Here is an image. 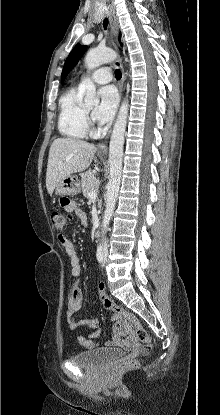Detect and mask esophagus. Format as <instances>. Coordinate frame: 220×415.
<instances>
[{
	"mask_svg": "<svg viewBox=\"0 0 220 415\" xmlns=\"http://www.w3.org/2000/svg\"><path fill=\"white\" fill-rule=\"evenodd\" d=\"M110 23H111V39H112V43L115 46V48L117 49V40H118V32H119V25H118V20L115 14V11L112 7H110ZM116 65L120 68L121 73H122V77L120 79L119 82V93H120V97L122 98L123 95V86H124V81H125V73H124V67L122 64V59L119 58L116 61ZM110 132L111 130H109L104 138V140H102L98 145V153L100 154H107V145H108V139L110 136Z\"/></svg>",
	"mask_w": 220,
	"mask_h": 415,
	"instance_id": "obj_1",
	"label": "esophagus"
}]
</instances>
